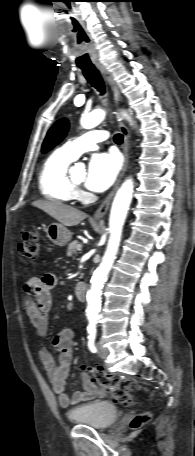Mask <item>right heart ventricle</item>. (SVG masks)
Returning <instances> with one entry per match:
<instances>
[{"label":"right heart ventricle","instance_id":"e07e8e85","mask_svg":"<svg viewBox=\"0 0 195 456\" xmlns=\"http://www.w3.org/2000/svg\"><path fill=\"white\" fill-rule=\"evenodd\" d=\"M73 162L61 149L55 150L43 163L38 176L39 190L48 200L69 202L76 190L68 177V167Z\"/></svg>","mask_w":195,"mask_h":456}]
</instances>
